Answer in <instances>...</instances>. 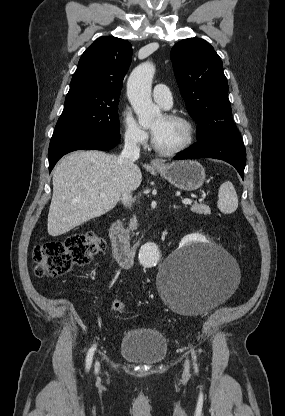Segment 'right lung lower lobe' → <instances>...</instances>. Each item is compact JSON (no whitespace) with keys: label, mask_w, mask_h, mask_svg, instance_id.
<instances>
[{"label":"right lung lower lobe","mask_w":285,"mask_h":416,"mask_svg":"<svg viewBox=\"0 0 285 416\" xmlns=\"http://www.w3.org/2000/svg\"><path fill=\"white\" fill-rule=\"evenodd\" d=\"M120 141L119 133L64 131L54 132L49 144V172L65 154L81 149L109 150Z\"/></svg>","instance_id":"right-lung-lower-lobe-1"}]
</instances>
